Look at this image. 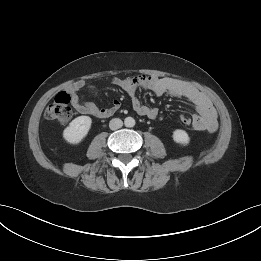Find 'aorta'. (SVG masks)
I'll return each instance as SVG.
<instances>
[{
  "label": "aorta",
  "mask_w": 261,
  "mask_h": 261,
  "mask_svg": "<svg viewBox=\"0 0 261 261\" xmlns=\"http://www.w3.org/2000/svg\"><path fill=\"white\" fill-rule=\"evenodd\" d=\"M124 124L126 127H133L135 125V120L132 117H126L124 120Z\"/></svg>",
  "instance_id": "1"
}]
</instances>
